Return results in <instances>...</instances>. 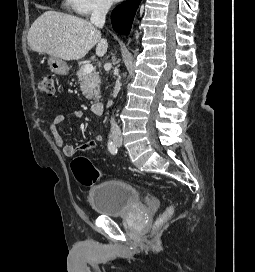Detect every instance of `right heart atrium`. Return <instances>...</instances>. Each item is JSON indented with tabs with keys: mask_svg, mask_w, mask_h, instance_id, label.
<instances>
[{
	"mask_svg": "<svg viewBox=\"0 0 255 272\" xmlns=\"http://www.w3.org/2000/svg\"><path fill=\"white\" fill-rule=\"evenodd\" d=\"M64 7L72 13L88 16L106 11L110 7V0H65Z\"/></svg>",
	"mask_w": 255,
	"mask_h": 272,
	"instance_id": "right-heart-atrium-1",
	"label": "right heart atrium"
}]
</instances>
